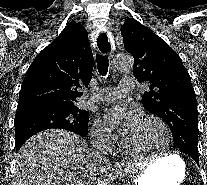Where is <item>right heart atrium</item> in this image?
<instances>
[{"mask_svg": "<svg viewBox=\"0 0 207 185\" xmlns=\"http://www.w3.org/2000/svg\"><path fill=\"white\" fill-rule=\"evenodd\" d=\"M91 139L97 149L107 152L118 143L120 137L100 119H97L91 129Z\"/></svg>", "mask_w": 207, "mask_h": 185, "instance_id": "right-heart-atrium-1", "label": "right heart atrium"}]
</instances>
